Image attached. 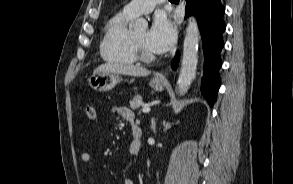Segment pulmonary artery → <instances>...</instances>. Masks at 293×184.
Masks as SVG:
<instances>
[{
  "instance_id": "e3ab8cb5",
  "label": "pulmonary artery",
  "mask_w": 293,
  "mask_h": 184,
  "mask_svg": "<svg viewBox=\"0 0 293 184\" xmlns=\"http://www.w3.org/2000/svg\"><path fill=\"white\" fill-rule=\"evenodd\" d=\"M165 0H132L123 8V12L131 17L150 13L157 4Z\"/></svg>"
}]
</instances>
